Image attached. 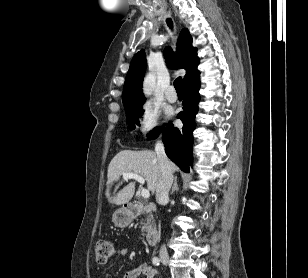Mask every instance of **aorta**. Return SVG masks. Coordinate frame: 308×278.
<instances>
[{
  "label": "aorta",
  "mask_w": 308,
  "mask_h": 278,
  "mask_svg": "<svg viewBox=\"0 0 308 278\" xmlns=\"http://www.w3.org/2000/svg\"><path fill=\"white\" fill-rule=\"evenodd\" d=\"M155 85V76L153 74H148L143 83V92L146 96H149L152 94L153 88Z\"/></svg>",
  "instance_id": "1"
}]
</instances>
